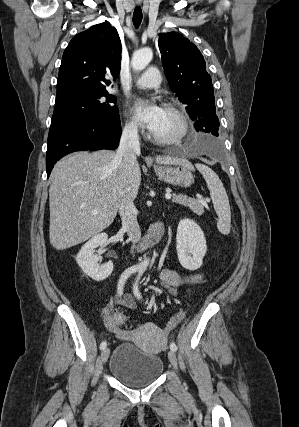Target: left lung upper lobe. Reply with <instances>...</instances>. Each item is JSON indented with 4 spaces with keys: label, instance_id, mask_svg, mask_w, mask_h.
Wrapping results in <instances>:
<instances>
[{
    "label": "left lung upper lobe",
    "instance_id": "obj_1",
    "mask_svg": "<svg viewBox=\"0 0 299 427\" xmlns=\"http://www.w3.org/2000/svg\"><path fill=\"white\" fill-rule=\"evenodd\" d=\"M159 49L169 86L178 99L188 106L193 120L201 119L200 112L209 117V133L219 136L214 90L206 63L199 49L177 32L160 33Z\"/></svg>",
    "mask_w": 299,
    "mask_h": 427
}]
</instances>
